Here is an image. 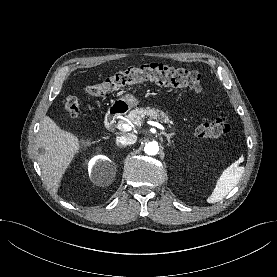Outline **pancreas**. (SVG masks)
Segmentation results:
<instances>
[{
	"instance_id": "cf45deb5",
	"label": "pancreas",
	"mask_w": 277,
	"mask_h": 277,
	"mask_svg": "<svg viewBox=\"0 0 277 277\" xmlns=\"http://www.w3.org/2000/svg\"><path fill=\"white\" fill-rule=\"evenodd\" d=\"M145 117L157 119L164 124H168L169 126L173 124V121L165 112L159 109L150 108V107L135 108L126 116V118L136 126H141Z\"/></svg>"
}]
</instances>
